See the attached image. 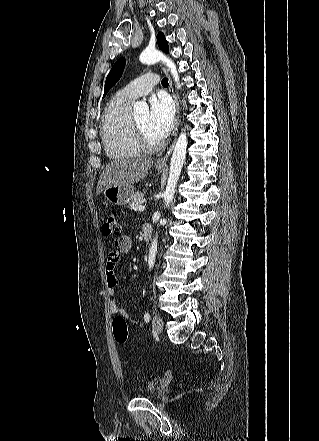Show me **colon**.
<instances>
[{
  "label": "colon",
  "instance_id": "obj_1",
  "mask_svg": "<svg viewBox=\"0 0 319 441\" xmlns=\"http://www.w3.org/2000/svg\"><path fill=\"white\" fill-rule=\"evenodd\" d=\"M121 227L118 221L117 214L109 213L103 222L102 233L105 236L118 235ZM113 335L118 343H125L128 338L127 321L122 316H116L112 321Z\"/></svg>",
  "mask_w": 319,
  "mask_h": 441
}]
</instances>
